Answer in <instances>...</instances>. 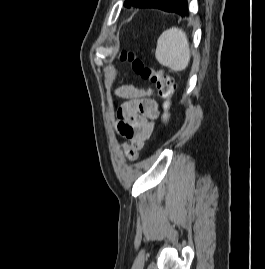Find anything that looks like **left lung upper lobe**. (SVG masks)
I'll return each instance as SVG.
<instances>
[{
    "label": "left lung upper lobe",
    "mask_w": 265,
    "mask_h": 269,
    "mask_svg": "<svg viewBox=\"0 0 265 269\" xmlns=\"http://www.w3.org/2000/svg\"><path fill=\"white\" fill-rule=\"evenodd\" d=\"M145 0H125L124 6L129 7H136L138 8Z\"/></svg>",
    "instance_id": "1"
}]
</instances>
